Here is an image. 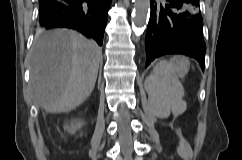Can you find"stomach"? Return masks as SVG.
Instances as JSON below:
<instances>
[{
    "instance_id": "1",
    "label": "stomach",
    "mask_w": 242,
    "mask_h": 160,
    "mask_svg": "<svg viewBox=\"0 0 242 160\" xmlns=\"http://www.w3.org/2000/svg\"><path fill=\"white\" fill-rule=\"evenodd\" d=\"M184 66V73H186L187 72V70H188V65L187 64H185V65H183Z\"/></svg>"
}]
</instances>
